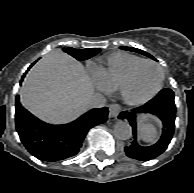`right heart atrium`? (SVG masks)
<instances>
[{
    "label": "right heart atrium",
    "mask_w": 194,
    "mask_h": 193,
    "mask_svg": "<svg viewBox=\"0 0 194 193\" xmlns=\"http://www.w3.org/2000/svg\"><path fill=\"white\" fill-rule=\"evenodd\" d=\"M88 75L92 86L101 93H107L111 90L110 86L102 79L97 67L93 63L87 65Z\"/></svg>",
    "instance_id": "d8ad5b80"
}]
</instances>
